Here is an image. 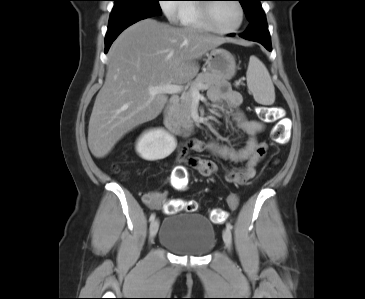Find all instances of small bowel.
Listing matches in <instances>:
<instances>
[{"instance_id": "obj_1", "label": "small bowel", "mask_w": 365, "mask_h": 299, "mask_svg": "<svg viewBox=\"0 0 365 299\" xmlns=\"http://www.w3.org/2000/svg\"><path fill=\"white\" fill-rule=\"evenodd\" d=\"M209 97L213 103L225 104L230 108H237L242 103L241 94L231 89L226 84H223L221 88L211 90ZM232 119L238 129L247 136L244 146L233 148L217 141L189 139L180 146L179 154L180 160L185 166L197 170L205 177L213 176L219 169L218 165L209 159L187 157L188 151L200 152L207 150L223 160L241 163L243 164L242 167L227 169L225 171V178L228 182L235 185H243L254 177L257 166L266 155L267 145L264 142H259L257 138L264 130V124L260 121L246 118L243 113L239 111L233 114ZM184 165L177 166L175 168V174L183 173ZM165 197L166 192L153 191L144 195V201L148 207L159 209L163 205Z\"/></svg>"}]
</instances>
